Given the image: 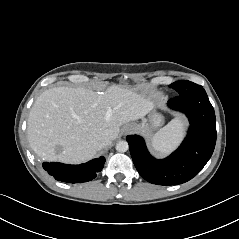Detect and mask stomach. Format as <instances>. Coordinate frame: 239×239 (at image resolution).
Listing matches in <instances>:
<instances>
[{
    "instance_id": "1",
    "label": "stomach",
    "mask_w": 239,
    "mask_h": 239,
    "mask_svg": "<svg viewBox=\"0 0 239 239\" xmlns=\"http://www.w3.org/2000/svg\"><path fill=\"white\" fill-rule=\"evenodd\" d=\"M164 122V119L159 114H152L148 119H144L141 123L138 124V129L144 133H151L158 127H160Z\"/></svg>"
}]
</instances>
